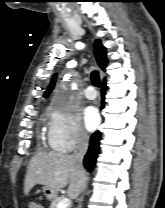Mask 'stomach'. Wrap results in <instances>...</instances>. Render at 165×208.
I'll use <instances>...</instances> for the list:
<instances>
[{
	"label": "stomach",
	"mask_w": 165,
	"mask_h": 208,
	"mask_svg": "<svg viewBox=\"0 0 165 208\" xmlns=\"http://www.w3.org/2000/svg\"><path fill=\"white\" fill-rule=\"evenodd\" d=\"M43 193L48 200H53L57 196V191H55L54 189H51L49 187H44Z\"/></svg>",
	"instance_id": "stomach-1"
}]
</instances>
